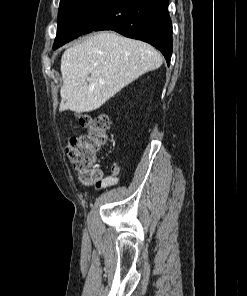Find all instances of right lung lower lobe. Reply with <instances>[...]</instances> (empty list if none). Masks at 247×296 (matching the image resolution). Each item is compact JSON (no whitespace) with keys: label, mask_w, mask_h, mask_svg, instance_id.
Segmentation results:
<instances>
[{"label":"right lung lower lobe","mask_w":247,"mask_h":296,"mask_svg":"<svg viewBox=\"0 0 247 296\" xmlns=\"http://www.w3.org/2000/svg\"><path fill=\"white\" fill-rule=\"evenodd\" d=\"M169 0H107L88 19L83 33L113 30L150 43L167 63L172 55V23Z\"/></svg>","instance_id":"1"}]
</instances>
